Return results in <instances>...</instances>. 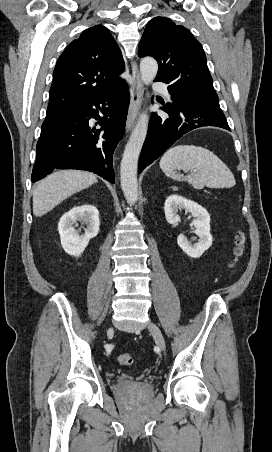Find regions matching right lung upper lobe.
I'll list each match as a JSON object with an SVG mask.
<instances>
[{"mask_svg": "<svg viewBox=\"0 0 272 452\" xmlns=\"http://www.w3.org/2000/svg\"><path fill=\"white\" fill-rule=\"evenodd\" d=\"M122 53L109 30H85L60 55L54 69L47 113L68 111L117 88L124 80Z\"/></svg>", "mask_w": 272, "mask_h": 452, "instance_id": "obj_1", "label": "right lung upper lobe"}]
</instances>
